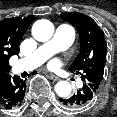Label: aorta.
<instances>
[{"label":"aorta","instance_id":"762f6f07","mask_svg":"<svg viewBox=\"0 0 117 117\" xmlns=\"http://www.w3.org/2000/svg\"><path fill=\"white\" fill-rule=\"evenodd\" d=\"M54 33V25L49 20H38L33 24L32 35L39 42L51 39ZM72 87L67 81H59L55 85V92L61 98H66L71 94Z\"/></svg>","mask_w":117,"mask_h":117}]
</instances>
